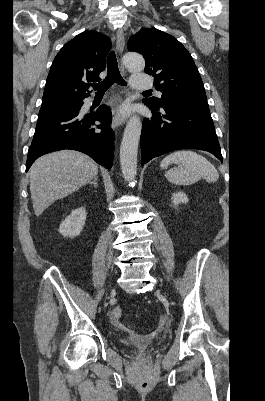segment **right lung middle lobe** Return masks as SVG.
<instances>
[{"mask_svg":"<svg viewBox=\"0 0 265 401\" xmlns=\"http://www.w3.org/2000/svg\"><path fill=\"white\" fill-rule=\"evenodd\" d=\"M82 105V100H67L42 105L39 111V117L50 113H78Z\"/></svg>","mask_w":265,"mask_h":401,"instance_id":"obj_1","label":"right lung middle lobe"}]
</instances>
